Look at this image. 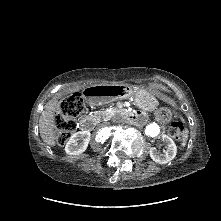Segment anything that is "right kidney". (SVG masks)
Returning <instances> with one entry per match:
<instances>
[{"label":"right kidney","instance_id":"right-kidney-1","mask_svg":"<svg viewBox=\"0 0 221 221\" xmlns=\"http://www.w3.org/2000/svg\"><path fill=\"white\" fill-rule=\"evenodd\" d=\"M90 141L89 131H79L73 134L65 146V151L69 155H78L84 152Z\"/></svg>","mask_w":221,"mask_h":221}]
</instances>
